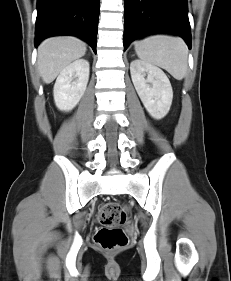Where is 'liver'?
Masks as SVG:
<instances>
[{"instance_id":"obj_1","label":"liver","mask_w":231,"mask_h":281,"mask_svg":"<svg viewBox=\"0 0 231 281\" xmlns=\"http://www.w3.org/2000/svg\"><path fill=\"white\" fill-rule=\"evenodd\" d=\"M86 44L75 37H53L38 47V71L44 83H51L71 62L84 56Z\"/></svg>"}]
</instances>
